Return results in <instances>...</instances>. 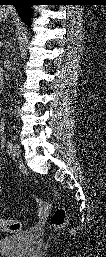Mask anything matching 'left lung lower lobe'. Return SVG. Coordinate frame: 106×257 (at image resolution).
<instances>
[{
	"instance_id": "1",
	"label": "left lung lower lobe",
	"mask_w": 106,
	"mask_h": 257,
	"mask_svg": "<svg viewBox=\"0 0 106 257\" xmlns=\"http://www.w3.org/2000/svg\"><path fill=\"white\" fill-rule=\"evenodd\" d=\"M3 1V0H0ZM11 5H13L18 14L20 15V17L23 18H27L26 14L28 15V6H30V4H27L26 2H30L28 0H10Z\"/></svg>"
}]
</instances>
